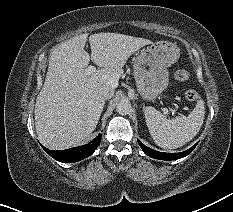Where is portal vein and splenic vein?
I'll return each mask as SVG.
<instances>
[{
  "label": "portal vein and splenic vein",
  "instance_id": "portal-vein-and-splenic-vein-1",
  "mask_svg": "<svg viewBox=\"0 0 233 212\" xmlns=\"http://www.w3.org/2000/svg\"><path fill=\"white\" fill-rule=\"evenodd\" d=\"M85 71H86L88 74H90V73L96 71V67H95V66H89L88 68H86ZM162 111H163V113H164L165 115L168 114V109H167V108H163Z\"/></svg>",
  "mask_w": 233,
  "mask_h": 212
}]
</instances>
